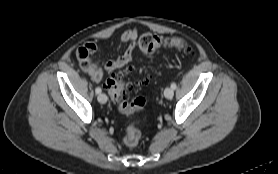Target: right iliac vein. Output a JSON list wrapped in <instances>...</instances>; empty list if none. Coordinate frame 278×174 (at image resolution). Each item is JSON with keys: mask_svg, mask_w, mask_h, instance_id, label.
<instances>
[{"mask_svg": "<svg viewBox=\"0 0 278 174\" xmlns=\"http://www.w3.org/2000/svg\"><path fill=\"white\" fill-rule=\"evenodd\" d=\"M98 101L102 104L107 102V96L104 93L98 95Z\"/></svg>", "mask_w": 278, "mask_h": 174, "instance_id": "63e3f726", "label": "right iliac vein"}]
</instances>
